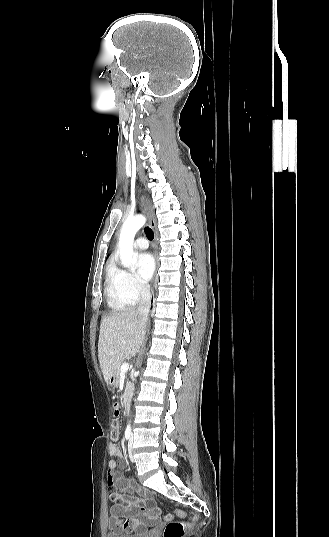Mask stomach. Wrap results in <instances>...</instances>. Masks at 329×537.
<instances>
[{
	"mask_svg": "<svg viewBox=\"0 0 329 537\" xmlns=\"http://www.w3.org/2000/svg\"><path fill=\"white\" fill-rule=\"evenodd\" d=\"M115 382H116V377H115V375H114V376H112V377L109 379V381H108V386H109L110 388H114V387L116 386Z\"/></svg>",
	"mask_w": 329,
	"mask_h": 537,
	"instance_id": "stomach-1",
	"label": "stomach"
}]
</instances>
